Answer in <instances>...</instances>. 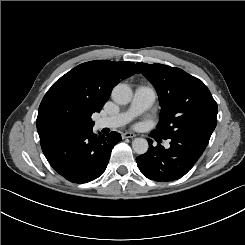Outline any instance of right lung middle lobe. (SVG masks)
Returning a JSON list of instances; mask_svg holds the SVG:
<instances>
[{"label": "right lung middle lobe", "instance_id": "obj_1", "mask_svg": "<svg viewBox=\"0 0 245 245\" xmlns=\"http://www.w3.org/2000/svg\"><path fill=\"white\" fill-rule=\"evenodd\" d=\"M92 111L81 108L62 110L59 115L64 132L80 131L93 128L94 122L91 120Z\"/></svg>", "mask_w": 245, "mask_h": 245}]
</instances>
